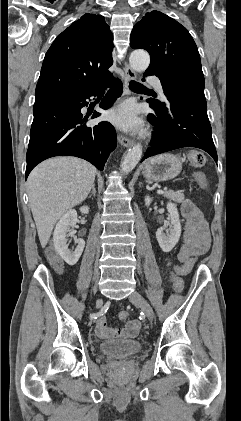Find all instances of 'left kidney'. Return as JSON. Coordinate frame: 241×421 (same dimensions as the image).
I'll return each mask as SVG.
<instances>
[{"mask_svg":"<svg viewBox=\"0 0 241 421\" xmlns=\"http://www.w3.org/2000/svg\"><path fill=\"white\" fill-rule=\"evenodd\" d=\"M151 202L152 198L146 196L145 205L149 206ZM167 210L171 218L170 223H167L156 231V238L159 246L162 251L166 253L170 252L175 247L181 236V224L176 205L171 202L167 203Z\"/></svg>","mask_w":241,"mask_h":421,"instance_id":"left-kidney-1","label":"left kidney"}]
</instances>
